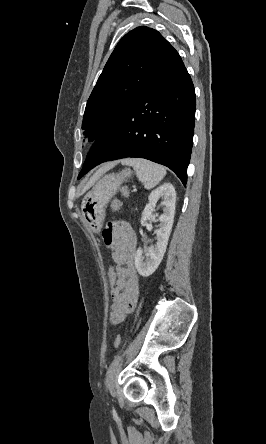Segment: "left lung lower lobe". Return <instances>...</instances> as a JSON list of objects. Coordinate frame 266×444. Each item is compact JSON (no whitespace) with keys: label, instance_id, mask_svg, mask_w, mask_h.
I'll use <instances>...</instances> for the list:
<instances>
[{"label":"left lung lower lobe","instance_id":"obj_1","mask_svg":"<svg viewBox=\"0 0 266 444\" xmlns=\"http://www.w3.org/2000/svg\"><path fill=\"white\" fill-rule=\"evenodd\" d=\"M195 106L194 86L181 62L96 139L80 173L105 161L139 157L167 166L185 186Z\"/></svg>","mask_w":266,"mask_h":444}]
</instances>
